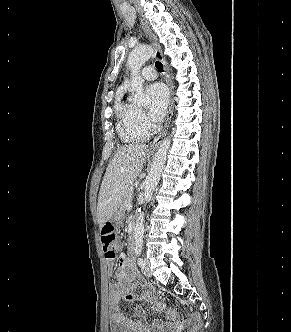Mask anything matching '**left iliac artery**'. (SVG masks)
Returning <instances> with one entry per match:
<instances>
[{
  "mask_svg": "<svg viewBox=\"0 0 291 332\" xmlns=\"http://www.w3.org/2000/svg\"><path fill=\"white\" fill-rule=\"evenodd\" d=\"M137 263L140 267H143L144 266V260L143 258L139 257L138 260H137Z\"/></svg>",
  "mask_w": 291,
  "mask_h": 332,
  "instance_id": "1",
  "label": "left iliac artery"
}]
</instances>
